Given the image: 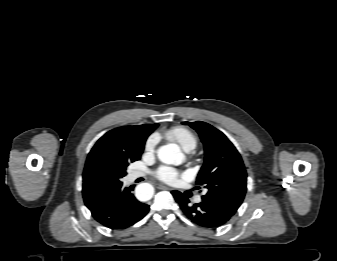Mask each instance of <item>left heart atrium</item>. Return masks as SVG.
I'll list each match as a JSON object with an SVG mask.
<instances>
[{"label":"left heart atrium","instance_id":"39dd6f15","mask_svg":"<svg viewBox=\"0 0 337 261\" xmlns=\"http://www.w3.org/2000/svg\"><path fill=\"white\" fill-rule=\"evenodd\" d=\"M155 176L165 183L173 184L176 182L179 172L172 167L162 166L156 170Z\"/></svg>","mask_w":337,"mask_h":261}]
</instances>
